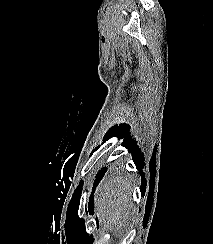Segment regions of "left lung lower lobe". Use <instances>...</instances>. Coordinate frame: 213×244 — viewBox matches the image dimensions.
<instances>
[{"label": "left lung lower lobe", "instance_id": "0a47b994", "mask_svg": "<svg viewBox=\"0 0 213 244\" xmlns=\"http://www.w3.org/2000/svg\"><path fill=\"white\" fill-rule=\"evenodd\" d=\"M104 173H105V171H101V172L98 174V177H97V179H96L95 182H94L95 185H94V187H93L92 192H94L95 187L97 186L98 182H99V181L101 180V178L103 177ZM90 200H92V205H93V195L90 196Z\"/></svg>", "mask_w": 213, "mask_h": 244}]
</instances>
